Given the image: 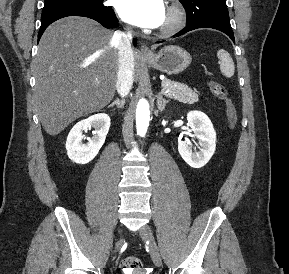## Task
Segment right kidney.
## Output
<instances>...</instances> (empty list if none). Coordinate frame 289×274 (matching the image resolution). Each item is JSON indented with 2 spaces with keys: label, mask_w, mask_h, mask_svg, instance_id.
Segmentation results:
<instances>
[{
  "label": "right kidney",
  "mask_w": 289,
  "mask_h": 274,
  "mask_svg": "<svg viewBox=\"0 0 289 274\" xmlns=\"http://www.w3.org/2000/svg\"><path fill=\"white\" fill-rule=\"evenodd\" d=\"M110 127V117L105 113L94 114L79 121L70 130L67 141V155L77 164H87L92 161L103 146ZM93 136L83 142V131L91 130Z\"/></svg>",
  "instance_id": "1"
}]
</instances>
